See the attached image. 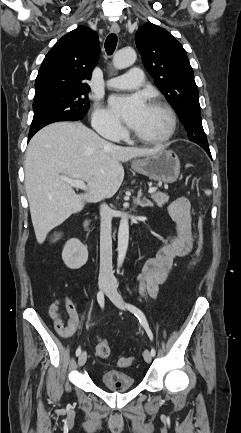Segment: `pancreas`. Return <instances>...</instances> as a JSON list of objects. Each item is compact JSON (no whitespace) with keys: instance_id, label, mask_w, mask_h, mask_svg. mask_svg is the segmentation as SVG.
Returning <instances> with one entry per match:
<instances>
[{"instance_id":"obj_1","label":"pancreas","mask_w":241,"mask_h":433,"mask_svg":"<svg viewBox=\"0 0 241 433\" xmlns=\"http://www.w3.org/2000/svg\"><path fill=\"white\" fill-rule=\"evenodd\" d=\"M151 198L159 207H162L169 201V196L162 192L153 193Z\"/></svg>"}]
</instances>
